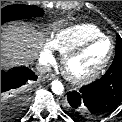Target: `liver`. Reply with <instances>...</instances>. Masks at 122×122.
<instances>
[{"label":"liver","instance_id":"obj_1","mask_svg":"<svg viewBox=\"0 0 122 122\" xmlns=\"http://www.w3.org/2000/svg\"><path fill=\"white\" fill-rule=\"evenodd\" d=\"M45 34L32 24H12L2 28L1 65L28 66L38 56Z\"/></svg>","mask_w":122,"mask_h":122}]
</instances>
